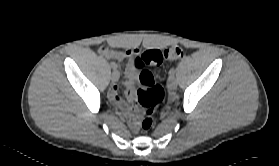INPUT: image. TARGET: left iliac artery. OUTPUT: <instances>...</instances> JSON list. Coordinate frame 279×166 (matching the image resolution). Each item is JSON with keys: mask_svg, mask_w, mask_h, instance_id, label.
<instances>
[{"mask_svg": "<svg viewBox=\"0 0 279 166\" xmlns=\"http://www.w3.org/2000/svg\"><path fill=\"white\" fill-rule=\"evenodd\" d=\"M169 74H170V76L174 75L175 74V69L174 68L170 69Z\"/></svg>", "mask_w": 279, "mask_h": 166, "instance_id": "left-iliac-artery-1", "label": "left iliac artery"}]
</instances>
